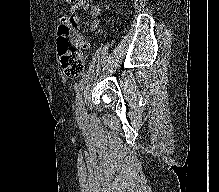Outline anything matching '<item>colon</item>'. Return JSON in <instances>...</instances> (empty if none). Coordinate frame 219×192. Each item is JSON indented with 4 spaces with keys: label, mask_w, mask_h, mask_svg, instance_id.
I'll return each instance as SVG.
<instances>
[{
    "label": "colon",
    "mask_w": 219,
    "mask_h": 192,
    "mask_svg": "<svg viewBox=\"0 0 219 192\" xmlns=\"http://www.w3.org/2000/svg\"><path fill=\"white\" fill-rule=\"evenodd\" d=\"M80 21L77 17H64L57 31V50L66 77L77 78L84 68L81 52Z\"/></svg>",
    "instance_id": "obj_1"
}]
</instances>
